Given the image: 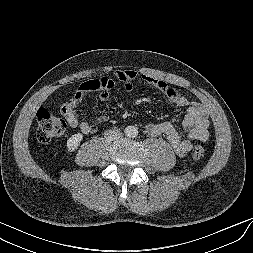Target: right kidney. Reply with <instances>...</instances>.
I'll return each instance as SVG.
<instances>
[{
	"label": "right kidney",
	"mask_w": 253,
	"mask_h": 253,
	"mask_svg": "<svg viewBox=\"0 0 253 253\" xmlns=\"http://www.w3.org/2000/svg\"><path fill=\"white\" fill-rule=\"evenodd\" d=\"M83 138V135L81 133H77L72 135L68 140H67V151L68 152H73L75 151L78 146L80 145V142Z\"/></svg>",
	"instance_id": "right-kidney-1"
}]
</instances>
